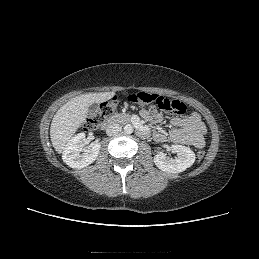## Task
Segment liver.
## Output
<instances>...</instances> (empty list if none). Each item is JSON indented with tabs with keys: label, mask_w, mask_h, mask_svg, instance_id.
<instances>
[{
	"label": "liver",
	"mask_w": 259,
	"mask_h": 259,
	"mask_svg": "<svg viewBox=\"0 0 259 259\" xmlns=\"http://www.w3.org/2000/svg\"><path fill=\"white\" fill-rule=\"evenodd\" d=\"M115 92L89 93L70 99L54 115L50 126V138L54 149L62 153L68 141L85 121L93 103L111 99Z\"/></svg>",
	"instance_id": "6515ba94"
}]
</instances>
